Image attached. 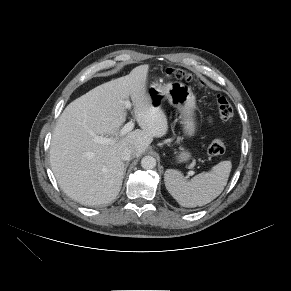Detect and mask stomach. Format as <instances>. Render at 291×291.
I'll return each mask as SVG.
<instances>
[{
    "label": "stomach",
    "instance_id": "stomach-1",
    "mask_svg": "<svg viewBox=\"0 0 291 291\" xmlns=\"http://www.w3.org/2000/svg\"><path fill=\"white\" fill-rule=\"evenodd\" d=\"M152 106L161 108L163 102H168L178 109L181 117V124L186 136H193L196 133V122L194 110L196 98L191 87L181 82H170L165 86L151 85L147 90ZM191 154L182 149L176 156L178 162H186Z\"/></svg>",
    "mask_w": 291,
    "mask_h": 291
}]
</instances>
